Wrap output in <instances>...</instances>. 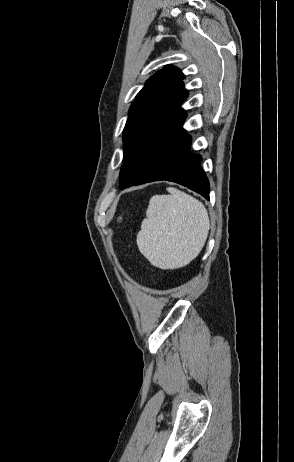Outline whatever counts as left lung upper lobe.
<instances>
[{
	"label": "left lung upper lobe",
	"instance_id": "1",
	"mask_svg": "<svg viewBox=\"0 0 294 462\" xmlns=\"http://www.w3.org/2000/svg\"><path fill=\"white\" fill-rule=\"evenodd\" d=\"M183 79L179 69L166 67L154 74L136 95L123 130L124 159L155 106H167L182 98L185 92Z\"/></svg>",
	"mask_w": 294,
	"mask_h": 462
}]
</instances>
